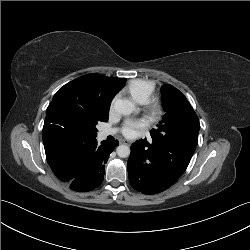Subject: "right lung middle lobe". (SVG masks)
Masks as SVG:
<instances>
[{
  "instance_id": "obj_1",
  "label": "right lung middle lobe",
  "mask_w": 250,
  "mask_h": 250,
  "mask_svg": "<svg viewBox=\"0 0 250 250\" xmlns=\"http://www.w3.org/2000/svg\"><path fill=\"white\" fill-rule=\"evenodd\" d=\"M47 111L56 134L90 140L97 136V123L108 121L109 106L100 104L97 94L85 81L75 79L58 90Z\"/></svg>"
}]
</instances>
